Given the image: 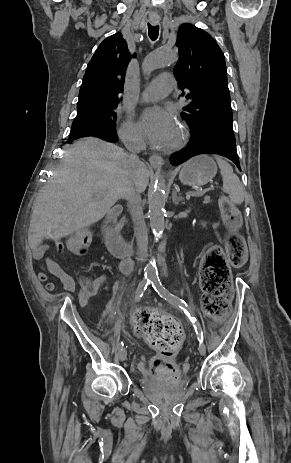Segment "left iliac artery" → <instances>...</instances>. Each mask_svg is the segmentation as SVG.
<instances>
[{
    "label": "left iliac artery",
    "mask_w": 291,
    "mask_h": 463,
    "mask_svg": "<svg viewBox=\"0 0 291 463\" xmlns=\"http://www.w3.org/2000/svg\"><path fill=\"white\" fill-rule=\"evenodd\" d=\"M151 284H152L154 290L160 295V297L164 298L165 300H167L171 304H173L175 306H178L181 310L184 311V313L188 316L190 321L193 323V326H194V329H195V332L197 334V338H198L199 342L200 343L203 342L204 337H203V332H202V329L200 327V324H199V322L197 321V319L194 316L190 315L187 303L183 299H181L178 296H176V295L172 294L171 292H169L162 285V283L160 282V279L158 277H156V276L152 277L151 278Z\"/></svg>",
    "instance_id": "left-iliac-artery-1"
}]
</instances>
